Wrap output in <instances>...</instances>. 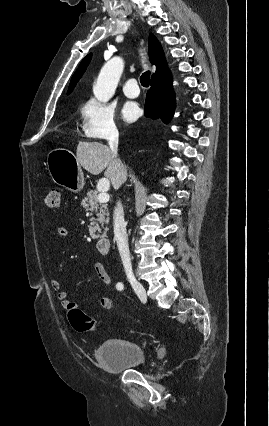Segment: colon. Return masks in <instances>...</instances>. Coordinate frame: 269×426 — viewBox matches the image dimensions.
I'll return each mask as SVG.
<instances>
[{
    "label": "colon",
    "mask_w": 269,
    "mask_h": 426,
    "mask_svg": "<svg viewBox=\"0 0 269 426\" xmlns=\"http://www.w3.org/2000/svg\"><path fill=\"white\" fill-rule=\"evenodd\" d=\"M44 203L48 208L56 209L60 206V192L57 188H52L44 196ZM68 318L73 328L78 332L95 331L100 328V324L88 316L78 307H71Z\"/></svg>",
    "instance_id": "colon-1"
}]
</instances>
